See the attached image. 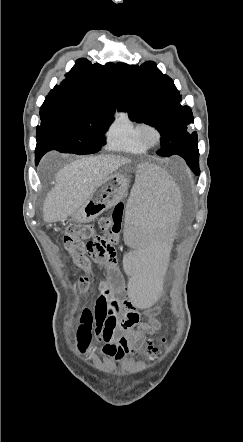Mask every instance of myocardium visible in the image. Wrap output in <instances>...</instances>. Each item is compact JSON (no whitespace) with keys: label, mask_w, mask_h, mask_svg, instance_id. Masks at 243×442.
I'll return each instance as SVG.
<instances>
[{"label":"myocardium","mask_w":243,"mask_h":442,"mask_svg":"<svg viewBox=\"0 0 243 442\" xmlns=\"http://www.w3.org/2000/svg\"><path fill=\"white\" fill-rule=\"evenodd\" d=\"M148 130H152L156 133V140L154 142H149L146 139V132ZM139 138L141 140V142L147 147V148H151V147H155L158 144H160V142L162 141L163 138V133L160 129V127L158 125H156L155 123L152 122H143L140 126V130H139Z\"/></svg>","instance_id":"f54148a6"}]
</instances>
